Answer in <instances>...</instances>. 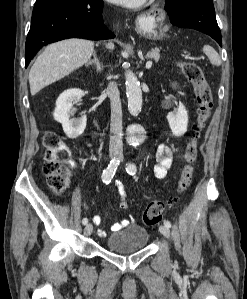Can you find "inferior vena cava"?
I'll list each match as a JSON object with an SVG mask.
<instances>
[{
  "mask_svg": "<svg viewBox=\"0 0 247 299\" xmlns=\"http://www.w3.org/2000/svg\"><path fill=\"white\" fill-rule=\"evenodd\" d=\"M111 101V124L109 151L113 154L122 153V109L120 93L115 83H110L107 89Z\"/></svg>",
  "mask_w": 247,
  "mask_h": 299,
  "instance_id": "inferior-vena-cava-1",
  "label": "inferior vena cava"
}]
</instances>
